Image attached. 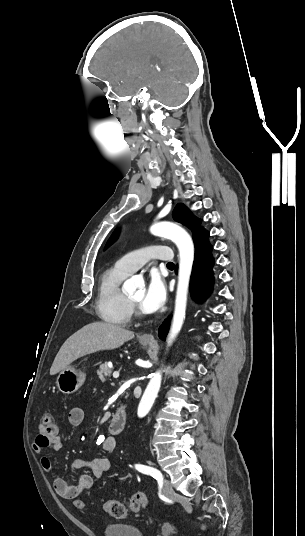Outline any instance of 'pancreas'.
Listing matches in <instances>:
<instances>
[{
	"label": "pancreas",
	"instance_id": "pancreas-1",
	"mask_svg": "<svg viewBox=\"0 0 305 536\" xmlns=\"http://www.w3.org/2000/svg\"><path fill=\"white\" fill-rule=\"evenodd\" d=\"M112 374V368H109L108 362L101 364L99 370H97V376L100 378L101 382H105L107 378H110Z\"/></svg>",
	"mask_w": 305,
	"mask_h": 536
}]
</instances>
